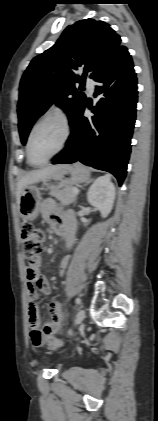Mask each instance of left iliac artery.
<instances>
[{
	"instance_id": "obj_1",
	"label": "left iliac artery",
	"mask_w": 158,
	"mask_h": 421,
	"mask_svg": "<svg viewBox=\"0 0 158 421\" xmlns=\"http://www.w3.org/2000/svg\"><path fill=\"white\" fill-rule=\"evenodd\" d=\"M75 302H76V304H81V299L80 298H76V300H75Z\"/></svg>"
}]
</instances>
